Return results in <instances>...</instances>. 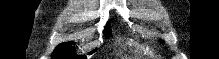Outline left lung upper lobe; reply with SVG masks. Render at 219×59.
Returning a JSON list of instances; mask_svg holds the SVG:
<instances>
[{"label":"left lung upper lobe","instance_id":"5c2ea615","mask_svg":"<svg viewBox=\"0 0 219 59\" xmlns=\"http://www.w3.org/2000/svg\"><path fill=\"white\" fill-rule=\"evenodd\" d=\"M162 43H164V41L163 40H160Z\"/></svg>","mask_w":219,"mask_h":59}]
</instances>
